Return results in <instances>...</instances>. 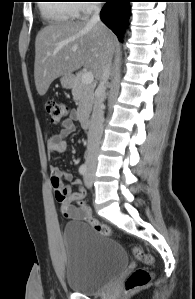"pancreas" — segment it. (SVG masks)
<instances>
[{
    "mask_svg": "<svg viewBox=\"0 0 195 299\" xmlns=\"http://www.w3.org/2000/svg\"><path fill=\"white\" fill-rule=\"evenodd\" d=\"M82 72L78 73L74 79L72 86V95L74 100L78 102L77 113L80 118L86 117L90 114L92 105L94 103V89L95 85L82 82Z\"/></svg>",
    "mask_w": 195,
    "mask_h": 299,
    "instance_id": "obj_1",
    "label": "pancreas"
}]
</instances>
